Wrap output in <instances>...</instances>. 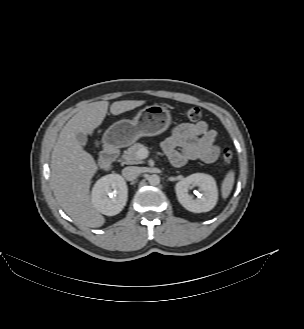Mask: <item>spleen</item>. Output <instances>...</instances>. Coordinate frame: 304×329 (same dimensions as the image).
Listing matches in <instances>:
<instances>
[{
	"mask_svg": "<svg viewBox=\"0 0 304 329\" xmlns=\"http://www.w3.org/2000/svg\"><path fill=\"white\" fill-rule=\"evenodd\" d=\"M234 179H235V173H234L233 170H230L226 174V176H225V178L222 182V185H221L222 197L224 199H226L230 195L231 190H232L233 185H234Z\"/></svg>",
	"mask_w": 304,
	"mask_h": 329,
	"instance_id": "spleen-1",
	"label": "spleen"
}]
</instances>
